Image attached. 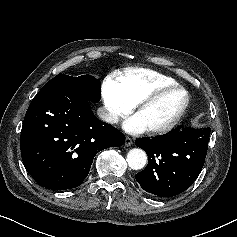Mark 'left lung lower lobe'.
<instances>
[{
    "mask_svg": "<svg viewBox=\"0 0 237 237\" xmlns=\"http://www.w3.org/2000/svg\"><path fill=\"white\" fill-rule=\"evenodd\" d=\"M210 128L178 126L154 138H139L135 144L148 155V165L136 175L147 192L172 197L187 190L199 176L207 154Z\"/></svg>",
    "mask_w": 237,
    "mask_h": 237,
    "instance_id": "1",
    "label": "left lung lower lobe"
}]
</instances>
